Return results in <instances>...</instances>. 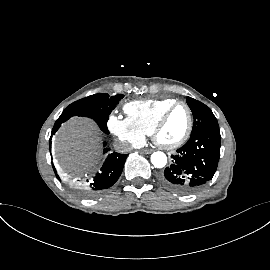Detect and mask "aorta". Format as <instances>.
Listing matches in <instances>:
<instances>
[{"instance_id":"aorta-1","label":"aorta","mask_w":270,"mask_h":270,"mask_svg":"<svg viewBox=\"0 0 270 270\" xmlns=\"http://www.w3.org/2000/svg\"><path fill=\"white\" fill-rule=\"evenodd\" d=\"M151 163L156 168H163L167 164V156L161 151L154 152L151 155Z\"/></svg>"}]
</instances>
